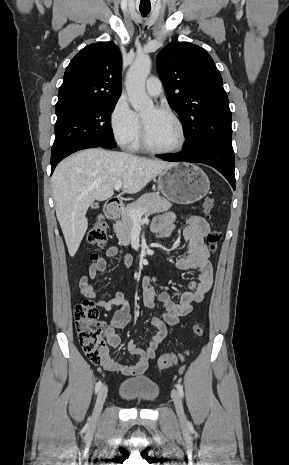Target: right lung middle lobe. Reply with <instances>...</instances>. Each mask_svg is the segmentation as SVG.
<instances>
[{"label": "right lung middle lobe", "instance_id": "obj_1", "mask_svg": "<svg viewBox=\"0 0 289 465\" xmlns=\"http://www.w3.org/2000/svg\"><path fill=\"white\" fill-rule=\"evenodd\" d=\"M118 99L56 107L55 141L51 163L77 151L81 146L98 143L114 148L110 114Z\"/></svg>", "mask_w": 289, "mask_h": 465}]
</instances>
